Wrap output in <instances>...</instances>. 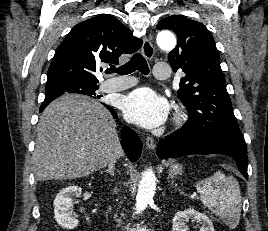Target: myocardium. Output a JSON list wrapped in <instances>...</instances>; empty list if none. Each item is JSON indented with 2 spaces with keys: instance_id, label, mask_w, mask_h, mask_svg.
I'll use <instances>...</instances> for the list:
<instances>
[{
  "instance_id": "f54148a6",
  "label": "myocardium",
  "mask_w": 268,
  "mask_h": 231,
  "mask_svg": "<svg viewBox=\"0 0 268 231\" xmlns=\"http://www.w3.org/2000/svg\"><path fill=\"white\" fill-rule=\"evenodd\" d=\"M186 117V113L184 110L179 109L174 117V121L176 124H180Z\"/></svg>"
}]
</instances>
